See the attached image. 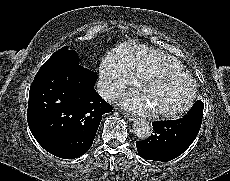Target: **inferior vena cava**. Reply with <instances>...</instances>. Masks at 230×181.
<instances>
[{"label": "inferior vena cava", "mask_w": 230, "mask_h": 181, "mask_svg": "<svg viewBox=\"0 0 230 181\" xmlns=\"http://www.w3.org/2000/svg\"><path fill=\"white\" fill-rule=\"evenodd\" d=\"M96 91L103 99L107 101L114 100L122 93L120 88L104 79L98 80L96 84Z\"/></svg>", "instance_id": "602c4592"}]
</instances>
